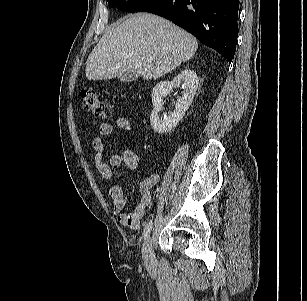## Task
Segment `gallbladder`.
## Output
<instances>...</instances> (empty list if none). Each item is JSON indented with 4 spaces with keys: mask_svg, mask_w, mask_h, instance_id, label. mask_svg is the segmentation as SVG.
I'll return each mask as SVG.
<instances>
[{
    "mask_svg": "<svg viewBox=\"0 0 307 301\" xmlns=\"http://www.w3.org/2000/svg\"><path fill=\"white\" fill-rule=\"evenodd\" d=\"M138 74L135 72H125L119 76L120 81L122 82H132L138 78Z\"/></svg>",
    "mask_w": 307,
    "mask_h": 301,
    "instance_id": "1",
    "label": "gallbladder"
}]
</instances>
